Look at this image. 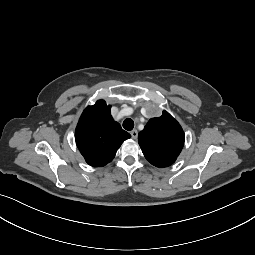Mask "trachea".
I'll list each match as a JSON object with an SVG mask.
<instances>
[{"mask_svg": "<svg viewBox=\"0 0 255 255\" xmlns=\"http://www.w3.org/2000/svg\"><path fill=\"white\" fill-rule=\"evenodd\" d=\"M133 127H134V122H133L132 119L127 118V119L124 120V122H123V128H124L125 130L130 131V130L133 129Z\"/></svg>", "mask_w": 255, "mask_h": 255, "instance_id": "obj_1", "label": "trachea"}]
</instances>
